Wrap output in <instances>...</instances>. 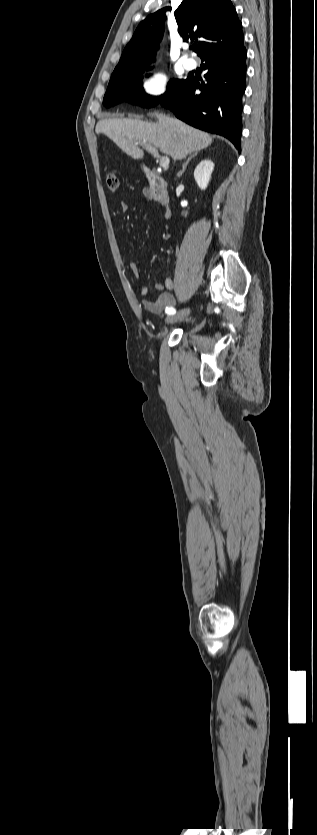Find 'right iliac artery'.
Wrapping results in <instances>:
<instances>
[{
    "instance_id": "82829eb1",
    "label": "right iliac artery",
    "mask_w": 317,
    "mask_h": 835,
    "mask_svg": "<svg viewBox=\"0 0 317 835\" xmlns=\"http://www.w3.org/2000/svg\"><path fill=\"white\" fill-rule=\"evenodd\" d=\"M166 313L169 314V315H173V314L176 313V310H175V308L171 307V308L166 309Z\"/></svg>"
}]
</instances>
